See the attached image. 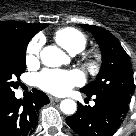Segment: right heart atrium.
Listing matches in <instances>:
<instances>
[{
	"label": "right heart atrium",
	"mask_w": 136,
	"mask_h": 136,
	"mask_svg": "<svg viewBox=\"0 0 136 136\" xmlns=\"http://www.w3.org/2000/svg\"><path fill=\"white\" fill-rule=\"evenodd\" d=\"M43 44V39L40 36L34 37L27 47L26 63L34 65L38 62L40 50Z\"/></svg>",
	"instance_id": "1"
}]
</instances>
